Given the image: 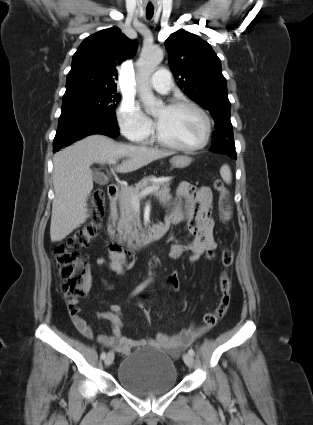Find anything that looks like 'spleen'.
Wrapping results in <instances>:
<instances>
[{"instance_id":"obj_1","label":"spleen","mask_w":313,"mask_h":425,"mask_svg":"<svg viewBox=\"0 0 313 425\" xmlns=\"http://www.w3.org/2000/svg\"><path fill=\"white\" fill-rule=\"evenodd\" d=\"M220 175L225 183L230 184L232 180V174L230 167L228 165H223L220 169ZM229 218V217H227Z\"/></svg>"}]
</instances>
